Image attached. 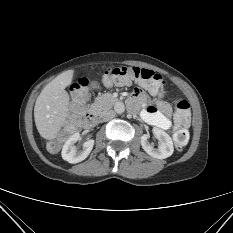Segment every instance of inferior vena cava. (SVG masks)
<instances>
[{
  "instance_id": "1",
  "label": "inferior vena cava",
  "mask_w": 233,
  "mask_h": 233,
  "mask_svg": "<svg viewBox=\"0 0 233 233\" xmlns=\"http://www.w3.org/2000/svg\"><path fill=\"white\" fill-rule=\"evenodd\" d=\"M116 113L114 110H108L102 115V121L106 122L115 117Z\"/></svg>"
}]
</instances>
